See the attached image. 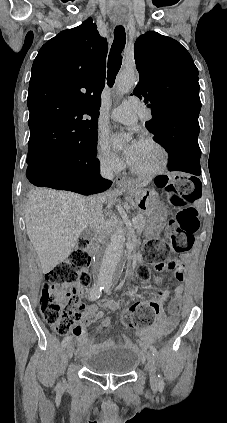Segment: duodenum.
<instances>
[{"label": "duodenum", "mask_w": 227, "mask_h": 423, "mask_svg": "<svg viewBox=\"0 0 227 423\" xmlns=\"http://www.w3.org/2000/svg\"><path fill=\"white\" fill-rule=\"evenodd\" d=\"M129 253L131 254L132 257H134V249L133 247H129Z\"/></svg>", "instance_id": "obj_1"}]
</instances>
